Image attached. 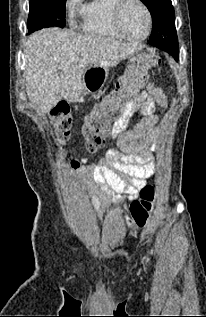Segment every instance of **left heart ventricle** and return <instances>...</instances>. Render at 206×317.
<instances>
[{
    "mask_svg": "<svg viewBox=\"0 0 206 317\" xmlns=\"http://www.w3.org/2000/svg\"><path fill=\"white\" fill-rule=\"evenodd\" d=\"M122 27L133 37H140L146 33L147 17L143 8L135 2L129 3L123 11Z\"/></svg>",
    "mask_w": 206,
    "mask_h": 317,
    "instance_id": "left-heart-ventricle-1",
    "label": "left heart ventricle"
}]
</instances>
